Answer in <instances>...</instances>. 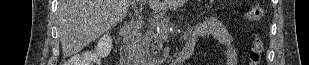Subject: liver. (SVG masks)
I'll return each mask as SVG.
<instances>
[{
  "instance_id": "obj_1",
  "label": "liver",
  "mask_w": 309,
  "mask_h": 65,
  "mask_svg": "<svg viewBox=\"0 0 309 65\" xmlns=\"http://www.w3.org/2000/svg\"><path fill=\"white\" fill-rule=\"evenodd\" d=\"M135 0H59L57 26L65 57L80 52L117 25ZM185 0H149L154 11L175 9Z\"/></svg>"
}]
</instances>
